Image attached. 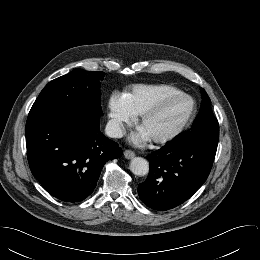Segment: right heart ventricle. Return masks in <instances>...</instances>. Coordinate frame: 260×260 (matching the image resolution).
<instances>
[{
  "label": "right heart ventricle",
  "mask_w": 260,
  "mask_h": 260,
  "mask_svg": "<svg viewBox=\"0 0 260 260\" xmlns=\"http://www.w3.org/2000/svg\"><path fill=\"white\" fill-rule=\"evenodd\" d=\"M177 92L180 90L169 84H139L131 87L124 96L133 114H141L159 99Z\"/></svg>",
  "instance_id": "e07e8e85"
}]
</instances>
